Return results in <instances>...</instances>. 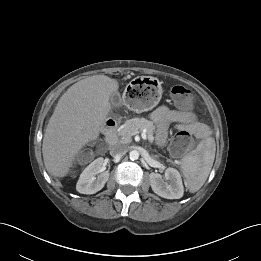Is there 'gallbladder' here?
I'll use <instances>...</instances> for the list:
<instances>
[{
    "label": "gallbladder",
    "instance_id": "bac80fb5",
    "mask_svg": "<svg viewBox=\"0 0 261 261\" xmlns=\"http://www.w3.org/2000/svg\"><path fill=\"white\" fill-rule=\"evenodd\" d=\"M110 103L113 107H117L120 105L121 103V96L119 93H114L111 97H110Z\"/></svg>",
    "mask_w": 261,
    "mask_h": 261
}]
</instances>
